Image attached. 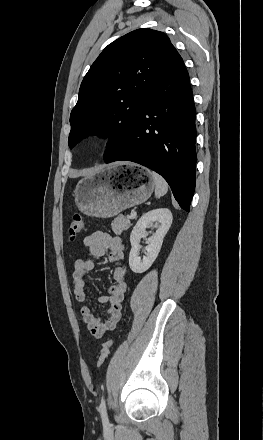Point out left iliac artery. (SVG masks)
<instances>
[{
  "label": "left iliac artery",
  "mask_w": 263,
  "mask_h": 440,
  "mask_svg": "<svg viewBox=\"0 0 263 440\" xmlns=\"http://www.w3.org/2000/svg\"><path fill=\"white\" fill-rule=\"evenodd\" d=\"M99 411L102 413V418L104 423H108V417L106 414V404H105V399L102 398L100 406H99Z\"/></svg>",
  "instance_id": "44dca946"
}]
</instances>
